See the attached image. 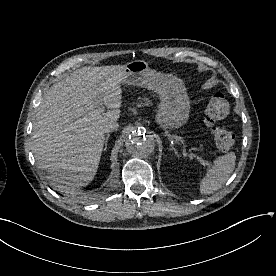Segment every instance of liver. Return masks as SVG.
Segmentation results:
<instances>
[{"label": "liver", "instance_id": "1", "mask_svg": "<svg viewBox=\"0 0 276 276\" xmlns=\"http://www.w3.org/2000/svg\"><path fill=\"white\" fill-rule=\"evenodd\" d=\"M125 65L84 67L51 86L33 125L38 168L61 193L77 194L96 175L103 126L120 117ZM111 109L98 110L97 102Z\"/></svg>", "mask_w": 276, "mask_h": 276}]
</instances>
